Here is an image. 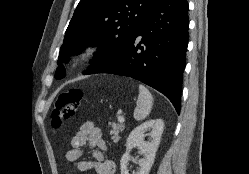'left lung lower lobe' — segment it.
I'll use <instances>...</instances> for the list:
<instances>
[{
	"label": "left lung lower lobe",
	"instance_id": "1",
	"mask_svg": "<svg viewBox=\"0 0 249 174\" xmlns=\"http://www.w3.org/2000/svg\"><path fill=\"white\" fill-rule=\"evenodd\" d=\"M188 28L186 0H156L122 56L109 68L93 73L139 80L164 94L179 114Z\"/></svg>",
	"mask_w": 249,
	"mask_h": 174
}]
</instances>
